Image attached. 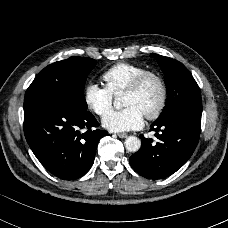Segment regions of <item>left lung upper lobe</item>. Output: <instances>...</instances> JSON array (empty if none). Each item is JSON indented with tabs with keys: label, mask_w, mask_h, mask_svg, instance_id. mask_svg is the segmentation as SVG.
I'll return each mask as SVG.
<instances>
[{
	"label": "left lung upper lobe",
	"mask_w": 228,
	"mask_h": 228,
	"mask_svg": "<svg viewBox=\"0 0 228 228\" xmlns=\"http://www.w3.org/2000/svg\"><path fill=\"white\" fill-rule=\"evenodd\" d=\"M151 57L158 61L167 89L166 106L157 120L180 110L202 113L201 92L189 70L175 59L154 53Z\"/></svg>",
	"instance_id": "5c2ea615"
}]
</instances>
